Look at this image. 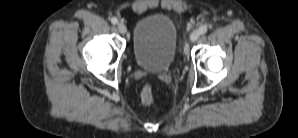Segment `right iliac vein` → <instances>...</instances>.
Masks as SVG:
<instances>
[{
  "instance_id": "obj_1",
  "label": "right iliac vein",
  "mask_w": 298,
  "mask_h": 138,
  "mask_svg": "<svg viewBox=\"0 0 298 138\" xmlns=\"http://www.w3.org/2000/svg\"><path fill=\"white\" fill-rule=\"evenodd\" d=\"M117 28H118V31L121 33V34H125L127 32V27L124 23L120 22L117 24Z\"/></svg>"
}]
</instances>
